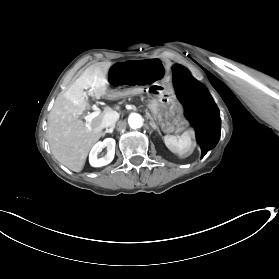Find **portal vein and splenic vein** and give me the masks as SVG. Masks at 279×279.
<instances>
[{
	"label": "portal vein and splenic vein",
	"instance_id": "obj_1",
	"mask_svg": "<svg viewBox=\"0 0 279 279\" xmlns=\"http://www.w3.org/2000/svg\"><path fill=\"white\" fill-rule=\"evenodd\" d=\"M91 109L94 111L86 116H82L81 119H84L86 123H90L98 114L99 107L96 104L91 106Z\"/></svg>",
	"mask_w": 279,
	"mask_h": 279
}]
</instances>
